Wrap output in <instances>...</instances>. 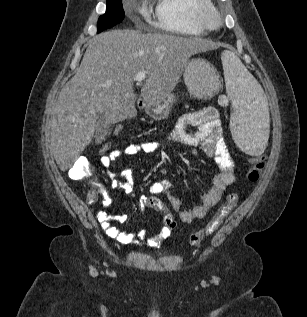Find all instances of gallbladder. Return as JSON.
<instances>
[{
  "label": "gallbladder",
  "mask_w": 307,
  "mask_h": 317,
  "mask_svg": "<svg viewBox=\"0 0 307 317\" xmlns=\"http://www.w3.org/2000/svg\"><path fill=\"white\" fill-rule=\"evenodd\" d=\"M110 130V124L106 120L103 113H99L96 121L95 142L101 143L105 139Z\"/></svg>",
  "instance_id": "obj_1"
}]
</instances>
